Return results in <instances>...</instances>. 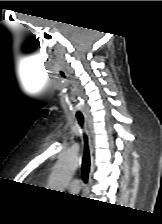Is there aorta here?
Returning a JSON list of instances; mask_svg holds the SVG:
<instances>
[{
    "label": "aorta",
    "instance_id": "1",
    "mask_svg": "<svg viewBox=\"0 0 162 224\" xmlns=\"http://www.w3.org/2000/svg\"><path fill=\"white\" fill-rule=\"evenodd\" d=\"M78 164L79 159L76 155L68 154L60 158L50 177L49 187L51 190L55 189L62 192L64 183L73 176Z\"/></svg>",
    "mask_w": 162,
    "mask_h": 224
}]
</instances>
